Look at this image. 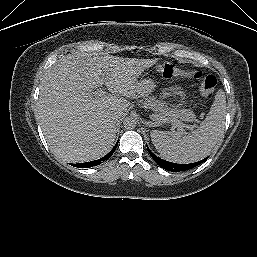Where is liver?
I'll list each match as a JSON object with an SVG mask.
<instances>
[{
  "mask_svg": "<svg viewBox=\"0 0 257 257\" xmlns=\"http://www.w3.org/2000/svg\"><path fill=\"white\" fill-rule=\"evenodd\" d=\"M158 59L73 53L58 59L40 84L38 115L54 155L67 162H86L107 154L116 138L112 114L121 116L139 94L138 77ZM105 84L111 94L94 96Z\"/></svg>",
  "mask_w": 257,
  "mask_h": 257,
  "instance_id": "liver-1",
  "label": "liver"
}]
</instances>
